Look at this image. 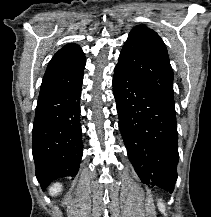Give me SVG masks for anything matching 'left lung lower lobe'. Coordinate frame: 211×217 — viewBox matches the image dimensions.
<instances>
[{"label": "left lung lower lobe", "instance_id": "obj_1", "mask_svg": "<svg viewBox=\"0 0 211 217\" xmlns=\"http://www.w3.org/2000/svg\"><path fill=\"white\" fill-rule=\"evenodd\" d=\"M113 92L119 129L140 180L172 193L179 160L174 105L118 64Z\"/></svg>", "mask_w": 211, "mask_h": 217}]
</instances>
